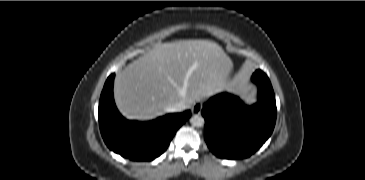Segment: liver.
<instances>
[{"label": "liver", "instance_id": "obj_1", "mask_svg": "<svg viewBox=\"0 0 365 180\" xmlns=\"http://www.w3.org/2000/svg\"><path fill=\"white\" fill-rule=\"evenodd\" d=\"M221 46L209 40H180L155 47L118 72L114 97L128 119L150 120L183 101L221 92L232 71Z\"/></svg>", "mask_w": 365, "mask_h": 180}]
</instances>
